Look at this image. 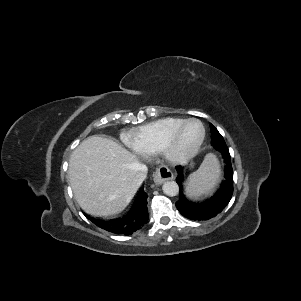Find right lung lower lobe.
<instances>
[{
  "label": "right lung lower lobe",
  "mask_w": 301,
  "mask_h": 301,
  "mask_svg": "<svg viewBox=\"0 0 301 301\" xmlns=\"http://www.w3.org/2000/svg\"><path fill=\"white\" fill-rule=\"evenodd\" d=\"M147 193L142 189L137 195L130 212L122 218L112 220L94 219L85 215L98 227L121 235H131L148 222V211L146 207Z\"/></svg>",
  "instance_id": "1"
}]
</instances>
